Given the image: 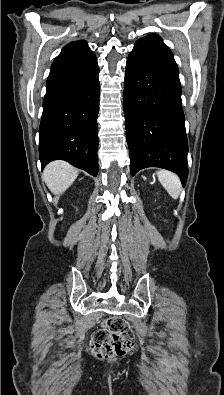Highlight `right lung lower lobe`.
Wrapping results in <instances>:
<instances>
[{
    "mask_svg": "<svg viewBox=\"0 0 224 395\" xmlns=\"http://www.w3.org/2000/svg\"><path fill=\"white\" fill-rule=\"evenodd\" d=\"M98 109L97 58L89 47L72 42L54 60L46 83L39 128L42 168L62 159L97 176Z\"/></svg>",
    "mask_w": 224,
    "mask_h": 395,
    "instance_id": "obj_1",
    "label": "right lung lower lobe"
}]
</instances>
